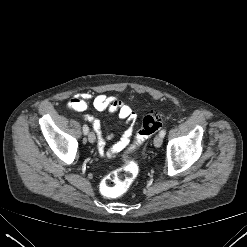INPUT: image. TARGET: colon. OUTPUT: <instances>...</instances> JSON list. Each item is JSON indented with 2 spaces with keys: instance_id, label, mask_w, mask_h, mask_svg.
<instances>
[{
  "instance_id": "1",
  "label": "colon",
  "mask_w": 247,
  "mask_h": 247,
  "mask_svg": "<svg viewBox=\"0 0 247 247\" xmlns=\"http://www.w3.org/2000/svg\"><path fill=\"white\" fill-rule=\"evenodd\" d=\"M162 126L161 115L150 112L143 118L142 125L138 130L135 143L131 150L145 142L151 135L156 133ZM138 173V166L127 158L124 165L109 173L101 183V190L107 197H117L124 193L135 179Z\"/></svg>"
}]
</instances>
